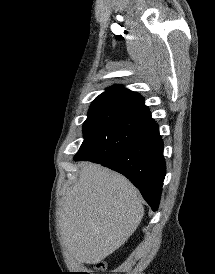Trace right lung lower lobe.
Returning a JSON list of instances; mask_svg holds the SVG:
<instances>
[{"instance_id":"1","label":"right lung lower lobe","mask_w":215,"mask_h":274,"mask_svg":"<svg viewBox=\"0 0 215 274\" xmlns=\"http://www.w3.org/2000/svg\"><path fill=\"white\" fill-rule=\"evenodd\" d=\"M77 161L100 163L125 175L140 190L151 208L158 209L166 165L163 141L155 122L110 160L86 158Z\"/></svg>"}]
</instances>
